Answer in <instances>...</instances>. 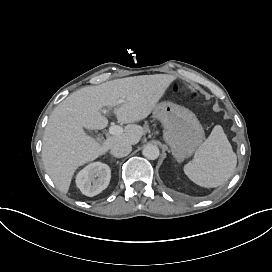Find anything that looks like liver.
I'll use <instances>...</instances> for the list:
<instances>
[{
    "label": "liver",
    "instance_id": "obj_1",
    "mask_svg": "<svg viewBox=\"0 0 272 272\" xmlns=\"http://www.w3.org/2000/svg\"><path fill=\"white\" fill-rule=\"evenodd\" d=\"M174 79L167 74L115 79L84 87L59 103L45 127L42 149L45 170L56 187L67 193L75 170L107 152L113 144H137L144 130L133 123L151 113ZM119 99L124 102L117 104L114 113L119 122L127 124L124 133L108 137L101 145L83 128L107 127L108 119L100 110L115 106Z\"/></svg>",
    "mask_w": 272,
    "mask_h": 272
}]
</instances>
